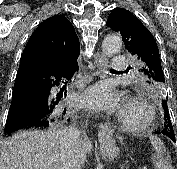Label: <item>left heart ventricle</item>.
I'll use <instances>...</instances> for the list:
<instances>
[{
    "label": "left heart ventricle",
    "mask_w": 177,
    "mask_h": 169,
    "mask_svg": "<svg viewBox=\"0 0 177 169\" xmlns=\"http://www.w3.org/2000/svg\"><path fill=\"white\" fill-rule=\"evenodd\" d=\"M125 114L127 118H136L138 116V113L133 109L125 110Z\"/></svg>",
    "instance_id": "b2bd125f"
}]
</instances>
